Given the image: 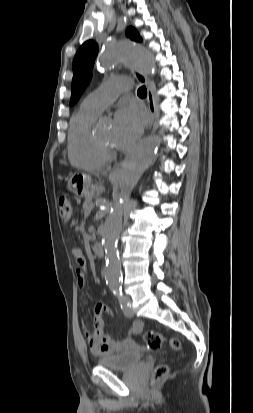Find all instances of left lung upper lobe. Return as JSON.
<instances>
[{
	"label": "left lung upper lobe",
	"instance_id": "obj_1",
	"mask_svg": "<svg viewBox=\"0 0 253 413\" xmlns=\"http://www.w3.org/2000/svg\"><path fill=\"white\" fill-rule=\"evenodd\" d=\"M126 36L130 39L141 41L138 32L129 27ZM98 54V45L95 41L89 40L78 49L73 60V80L70 105H74L82 95L91 79V72L95 58Z\"/></svg>",
	"mask_w": 253,
	"mask_h": 413
}]
</instances>
